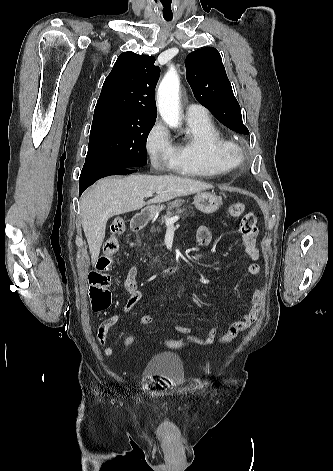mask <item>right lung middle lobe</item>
<instances>
[{
	"instance_id": "dd1d6c3e",
	"label": "right lung middle lobe",
	"mask_w": 333,
	"mask_h": 471,
	"mask_svg": "<svg viewBox=\"0 0 333 471\" xmlns=\"http://www.w3.org/2000/svg\"><path fill=\"white\" fill-rule=\"evenodd\" d=\"M155 119L122 115L93 117L84 166L142 167L146 140Z\"/></svg>"
}]
</instances>
